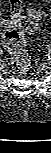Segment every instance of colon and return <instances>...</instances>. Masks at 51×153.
<instances>
[{
    "mask_svg": "<svg viewBox=\"0 0 51 153\" xmlns=\"http://www.w3.org/2000/svg\"><path fill=\"white\" fill-rule=\"evenodd\" d=\"M12 21L3 32V45L11 54V64L17 73H25L30 65L25 49L26 34L36 29V24L21 15L20 0L10 1ZM34 12V11H32ZM35 15L39 12H34Z\"/></svg>",
    "mask_w": 51,
    "mask_h": 153,
    "instance_id": "5ec220e1",
    "label": "colon"
}]
</instances>
